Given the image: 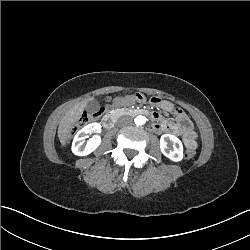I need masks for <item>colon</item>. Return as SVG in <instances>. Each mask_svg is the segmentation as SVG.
Returning a JSON list of instances; mask_svg holds the SVG:
<instances>
[{"label": "colon", "instance_id": "5ec220e1", "mask_svg": "<svg viewBox=\"0 0 250 250\" xmlns=\"http://www.w3.org/2000/svg\"><path fill=\"white\" fill-rule=\"evenodd\" d=\"M151 105H160L161 103V97L160 95H151ZM134 100L138 102H145L146 101V95L144 93L138 92L134 95ZM106 111V108L104 106H99V105H92L88 112H80L77 115V119L75 120V127L76 128H81L82 126L88 125L92 122H95L98 120L100 116H102ZM185 120L183 119V123ZM76 134V129L75 128H70L69 132L66 133V138L63 140V145L64 146H69L70 145V140L73 138V135ZM186 145H187V150L184 153L183 157L184 158H191L195 155L197 143L195 140L191 139L188 137L186 139Z\"/></svg>", "mask_w": 250, "mask_h": 250}]
</instances>
